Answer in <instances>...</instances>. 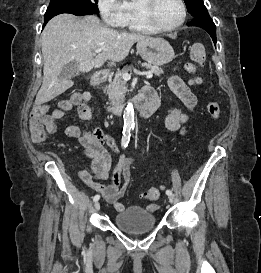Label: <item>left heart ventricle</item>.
Returning <instances> with one entry per match:
<instances>
[{"label": "left heart ventricle", "mask_w": 261, "mask_h": 273, "mask_svg": "<svg viewBox=\"0 0 261 273\" xmlns=\"http://www.w3.org/2000/svg\"><path fill=\"white\" fill-rule=\"evenodd\" d=\"M182 16L181 7L177 0H159L155 10V18L162 27H172Z\"/></svg>", "instance_id": "1"}]
</instances>
